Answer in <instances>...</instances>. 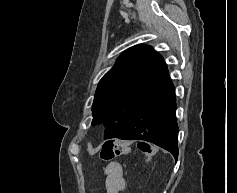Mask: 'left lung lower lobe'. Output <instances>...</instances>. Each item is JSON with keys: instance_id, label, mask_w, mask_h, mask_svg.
I'll return each mask as SVG.
<instances>
[{"instance_id": "left-lung-lower-lobe-1", "label": "left lung lower lobe", "mask_w": 237, "mask_h": 193, "mask_svg": "<svg viewBox=\"0 0 237 193\" xmlns=\"http://www.w3.org/2000/svg\"><path fill=\"white\" fill-rule=\"evenodd\" d=\"M175 89L168 70L146 91L127 126L116 137L151 142L178 157Z\"/></svg>"}]
</instances>
